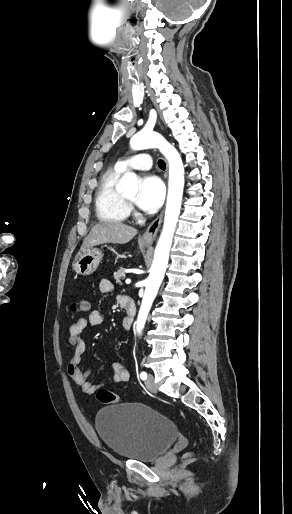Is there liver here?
Wrapping results in <instances>:
<instances>
[{
	"label": "liver",
	"instance_id": "1",
	"mask_svg": "<svg viewBox=\"0 0 292 514\" xmlns=\"http://www.w3.org/2000/svg\"><path fill=\"white\" fill-rule=\"evenodd\" d=\"M137 230L131 226H125L120 222H101L93 226L90 234L85 238L81 250L99 246V244H127L134 236Z\"/></svg>",
	"mask_w": 292,
	"mask_h": 514
}]
</instances>
